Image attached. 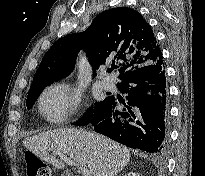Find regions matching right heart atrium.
<instances>
[{"instance_id": "1", "label": "right heart atrium", "mask_w": 205, "mask_h": 176, "mask_svg": "<svg viewBox=\"0 0 205 176\" xmlns=\"http://www.w3.org/2000/svg\"><path fill=\"white\" fill-rule=\"evenodd\" d=\"M81 95L69 84L59 82L47 87L40 95L38 107L49 122L61 123L78 110Z\"/></svg>"}]
</instances>
